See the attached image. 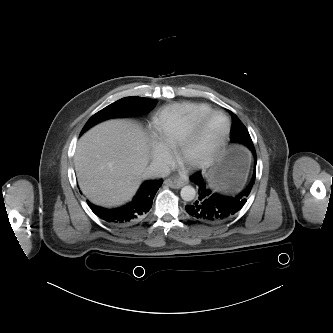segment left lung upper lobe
<instances>
[{
  "mask_svg": "<svg viewBox=\"0 0 333 333\" xmlns=\"http://www.w3.org/2000/svg\"><path fill=\"white\" fill-rule=\"evenodd\" d=\"M229 112L232 115L231 142L244 145L249 148L251 152L255 151L248 130L234 113Z\"/></svg>",
  "mask_w": 333,
  "mask_h": 333,
  "instance_id": "obj_1",
  "label": "left lung upper lobe"
}]
</instances>
